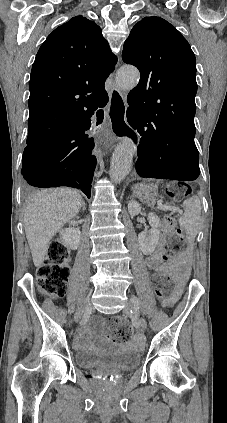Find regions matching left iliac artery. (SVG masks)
<instances>
[{"label":"left iliac artery","instance_id":"1","mask_svg":"<svg viewBox=\"0 0 227 423\" xmlns=\"http://www.w3.org/2000/svg\"><path fill=\"white\" fill-rule=\"evenodd\" d=\"M131 302L133 303V304H137L136 306H135V310L137 311L138 309H139V300H138V298L137 297H135V296H133L132 298H131Z\"/></svg>","mask_w":227,"mask_h":423}]
</instances>
